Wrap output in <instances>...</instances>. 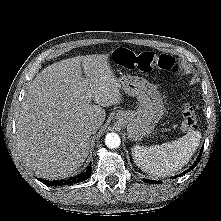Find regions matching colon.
<instances>
[{"mask_svg": "<svg viewBox=\"0 0 221 221\" xmlns=\"http://www.w3.org/2000/svg\"><path fill=\"white\" fill-rule=\"evenodd\" d=\"M116 63L142 72H150L153 69L175 70L174 59L166 54L153 52H134L126 48H118L114 52ZM182 128L186 131L193 130L197 125V117L192 103L185 102L182 105Z\"/></svg>", "mask_w": 221, "mask_h": 221, "instance_id": "1", "label": "colon"}]
</instances>
